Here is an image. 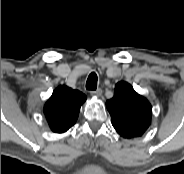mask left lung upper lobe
Here are the masks:
<instances>
[{"mask_svg":"<svg viewBox=\"0 0 184 174\" xmlns=\"http://www.w3.org/2000/svg\"><path fill=\"white\" fill-rule=\"evenodd\" d=\"M106 106L113 127L122 137H139L151 123L150 103L125 81L115 85L114 96L107 100Z\"/></svg>","mask_w":184,"mask_h":174,"instance_id":"5c2ea615","label":"left lung upper lobe"}]
</instances>
